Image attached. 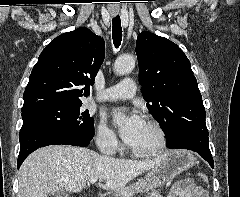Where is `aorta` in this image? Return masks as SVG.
<instances>
[{
	"instance_id": "obj_1",
	"label": "aorta",
	"mask_w": 240,
	"mask_h": 197,
	"mask_svg": "<svg viewBox=\"0 0 240 197\" xmlns=\"http://www.w3.org/2000/svg\"><path fill=\"white\" fill-rule=\"evenodd\" d=\"M135 61L131 55H123L116 59L114 63V72L116 75H125L132 71Z\"/></svg>"
}]
</instances>
